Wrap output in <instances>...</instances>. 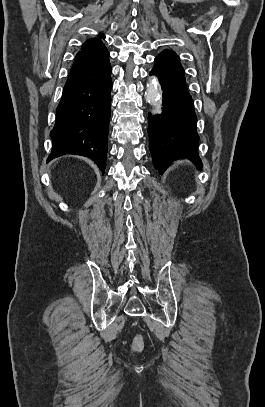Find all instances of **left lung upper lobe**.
I'll list each match as a JSON object with an SVG mask.
<instances>
[{
    "label": "left lung upper lobe",
    "instance_id": "left-lung-upper-lobe-1",
    "mask_svg": "<svg viewBox=\"0 0 265 407\" xmlns=\"http://www.w3.org/2000/svg\"><path fill=\"white\" fill-rule=\"evenodd\" d=\"M156 58L171 69L184 74V69L180 64L179 57L172 50L165 49Z\"/></svg>",
    "mask_w": 265,
    "mask_h": 407
}]
</instances>
